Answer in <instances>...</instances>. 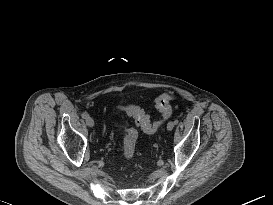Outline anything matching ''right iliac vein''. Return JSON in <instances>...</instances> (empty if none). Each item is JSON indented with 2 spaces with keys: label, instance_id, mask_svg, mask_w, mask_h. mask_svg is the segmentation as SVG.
I'll use <instances>...</instances> for the list:
<instances>
[{
  "label": "right iliac vein",
  "instance_id": "1",
  "mask_svg": "<svg viewBox=\"0 0 273 205\" xmlns=\"http://www.w3.org/2000/svg\"><path fill=\"white\" fill-rule=\"evenodd\" d=\"M86 124H87L88 127H93L94 126V120H93V118L90 117V116H88L86 118Z\"/></svg>",
  "mask_w": 273,
  "mask_h": 205
}]
</instances>
